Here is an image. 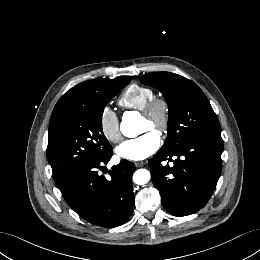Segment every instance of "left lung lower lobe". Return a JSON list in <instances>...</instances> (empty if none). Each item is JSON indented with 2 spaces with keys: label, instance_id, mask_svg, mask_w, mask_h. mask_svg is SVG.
<instances>
[{
  "label": "left lung lower lobe",
  "instance_id": "1",
  "mask_svg": "<svg viewBox=\"0 0 260 260\" xmlns=\"http://www.w3.org/2000/svg\"><path fill=\"white\" fill-rule=\"evenodd\" d=\"M222 150L221 136H204L173 149L161 148L150 159L152 182L167 212L181 217L205 206L221 173ZM166 160L173 164L162 163Z\"/></svg>",
  "mask_w": 260,
  "mask_h": 260
}]
</instances>
